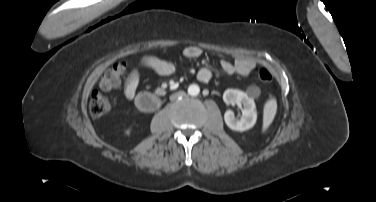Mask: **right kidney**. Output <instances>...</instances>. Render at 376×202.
Returning a JSON list of instances; mask_svg holds the SVG:
<instances>
[{
	"mask_svg": "<svg viewBox=\"0 0 376 202\" xmlns=\"http://www.w3.org/2000/svg\"><path fill=\"white\" fill-rule=\"evenodd\" d=\"M127 134H130V131H127Z\"/></svg>",
	"mask_w": 376,
	"mask_h": 202,
	"instance_id": "right-kidney-1",
	"label": "right kidney"
}]
</instances>
